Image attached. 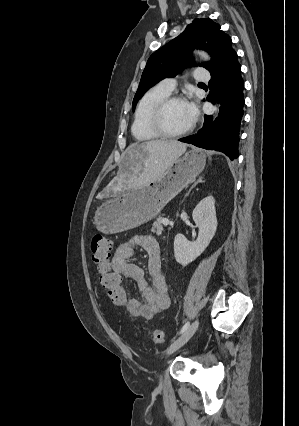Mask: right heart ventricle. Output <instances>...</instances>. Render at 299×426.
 Returning <instances> with one entry per match:
<instances>
[{"mask_svg": "<svg viewBox=\"0 0 299 426\" xmlns=\"http://www.w3.org/2000/svg\"><path fill=\"white\" fill-rule=\"evenodd\" d=\"M169 95L170 92L159 84L148 90L140 99L132 124V134L136 140L148 142L160 137L153 130L150 119L156 105Z\"/></svg>", "mask_w": 299, "mask_h": 426, "instance_id": "1", "label": "right heart ventricle"}]
</instances>
